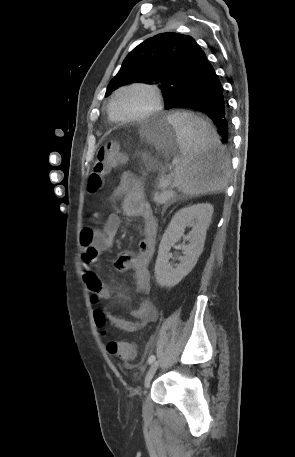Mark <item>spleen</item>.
I'll return each instance as SVG.
<instances>
[{"label": "spleen", "instance_id": "spleen-1", "mask_svg": "<svg viewBox=\"0 0 295 457\" xmlns=\"http://www.w3.org/2000/svg\"><path fill=\"white\" fill-rule=\"evenodd\" d=\"M168 119L176 129L181 152L173 175L174 185L191 196L223 189L228 163L216 130L190 112H176Z\"/></svg>", "mask_w": 295, "mask_h": 457}]
</instances>
